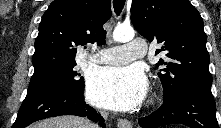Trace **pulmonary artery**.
I'll return each mask as SVG.
<instances>
[{
    "mask_svg": "<svg viewBox=\"0 0 221 128\" xmlns=\"http://www.w3.org/2000/svg\"><path fill=\"white\" fill-rule=\"evenodd\" d=\"M146 50V42L138 39L126 41L120 46L102 49L99 53L91 56L90 59L99 64H124L143 56Z\"/></svg>",
    "mask_w": 221,
    "mask_h": 128,
    "instance_id": "e3ab8cb5",
    "label": "pulmonary artery"
}]
</instances>
